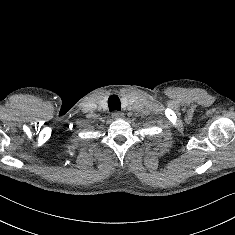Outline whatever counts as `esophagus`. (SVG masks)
<instances>
[{
    "label": "esophagus",
    "instance_id": "1",
    "mask_svg": "<svg viewBox=\"0 0 235 235\" xmlns=\"http://www.w3.org/2000/svg\"><path fill=\"white\" fill-rule=\"evenodd\" d=\"M112 117H113L114 119L124 118V114H123L122 112H120V111H114V112L112 113Z\"/></svg>",
    "mask_w": 235,
    "mask_h": 235
}]
</instances>
